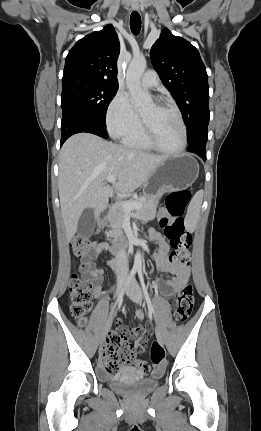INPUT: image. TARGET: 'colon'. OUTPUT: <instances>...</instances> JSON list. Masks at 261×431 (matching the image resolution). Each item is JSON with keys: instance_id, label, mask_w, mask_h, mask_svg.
<instances>
[{"instance_id": "obj_1", "label": "colon", "mask_w": 261, "mask_h": 431, "mask_svg": "<svg viewBox=\"0 0 261 431\" xmlns=\"http://www.w3.org/2000/svg\"><path fill=\"white\" fill-rule=\"evenodd\" d=\"M191 193L188 190L170 192L166 197L168 212L174 217L172 222L163 219L161 222L164 233L170 242L173 251L169 254V260L178 266H188L190 262L189 249L192 245V235L184 228L182 218L190 201ZM96 244L88 238L77 236L71 242L72 253L75 257L85 259L79 272L71 276L69 285L70 304L72 317L79 325L86 323V314L91 307L93 283L85 278L89 267V259L92 256ZM176 306L175 317L177 321L184 322L191 315L194 304V288L191 283L185 284L176 298L171 299ZM149 360L134 362V367L139 373H146V382H155L162 379L163 366L167 352L157 343L151 345ZM133 358V345L130 341L117 332H111L103 346L102 362L104 369L110 373H116L124 363H129Z\"/></svg>"}]
</instances>
